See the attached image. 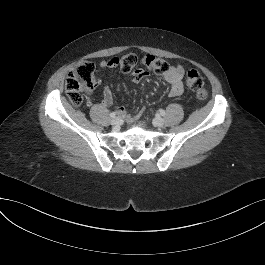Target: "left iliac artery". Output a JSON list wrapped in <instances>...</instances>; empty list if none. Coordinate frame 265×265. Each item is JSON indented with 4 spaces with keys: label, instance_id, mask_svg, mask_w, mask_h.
Listing matches in <instances>:
<instances>
[{
    "label": "left iliac artery",
    "instance_id": "1",
    "mask_svg": "<svg viewBox=\"0 0 265 265\" xmlns=\"http://www.w3.org/2000/svg\"><path fill=\"white\" fill-rule=\"evenodd\" d=\"M160 115L164 116L165 115V111L164 110H160Z\"/></svg>",
    "mask_w": 265,
    "mask_h": 265
}]
</instances>
